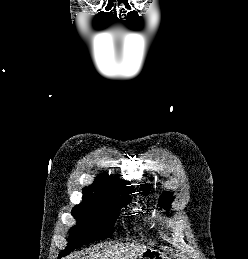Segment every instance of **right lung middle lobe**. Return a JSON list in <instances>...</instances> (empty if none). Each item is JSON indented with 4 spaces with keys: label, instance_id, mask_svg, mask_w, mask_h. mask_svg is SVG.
Instances as JSON below:
<instances>
[{
    "label": "right lung middle lobe",
    "instance_id": "1",
    "mask_svg": "<svg viewBox=\"0 0 248 259\" xmlns=\"http://www.w3.org/2000/svg\"><path fill=\"white\" fill-rule=\"evenodd\" d=\"M133 192V190L127 191L118 197H83L82 203L73 208L72 213L77 225L70 231L68 246L61 252L59 258L83 245L109 238L114 231L119 210L131 201L127 194Z\"/></svg>",
    "mask_w": 248,
    "mask_h": 259
}]
</instances>
